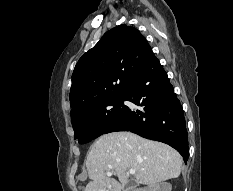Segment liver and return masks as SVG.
<instances>
[{"label":"liver","mask_w":233,"mask_h":191,"mask_svg":"<svg viewBox=\"0 0 233 191\" xmlns=\"http://www.w3.org/2000/svg\"><path fill=\"white\" fill-rule=\"evenodd\" d=\"M91 181L85 191H122L128 183V170L134 169L135 181L142 185L178 178L182 157L172 147L142 138L131 132H112L100 136L86 157ZM115 172L118 180L108 174Z\"/></svg>","instance_id":"1"}]
</instances>
